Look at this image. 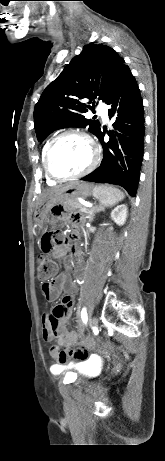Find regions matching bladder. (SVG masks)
I'll return each instance as SVG.
<instances>
[{"label":"bladder","mask_w":165,"mask_h":461,"mask_svg":"<svg viewBox=\"0 0 165 461\" xmlns=\"http://www.w3.org/2000/svg\"><path fill=\"white\" fill-rule=\"evenodd\" d=\"M97 367V362L93 359L86 360L79 364L78 368L84 375H93Z\"/></svg>","instance_id":"31cf9c89"}]
</instances>
